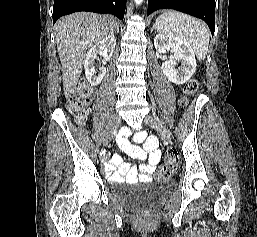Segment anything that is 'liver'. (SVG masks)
Masks as SVG:
<instances>
[{
  "mask_svg": "<svg viewBox=\"0 0 257 237\" xmlns=\"http://www.w3.org/2000/svg\"><path fill=\"white\" fill-rule=\"evenodd\" d=\"M117 28L118 23L112 16L95 13L79 12L58 20L56 43L66 98L76 89L88 51L97 42L113 35Z\"/></svg>",
  "mask_w": 257,
  "mask_h": 237,
  "instance_id": "liver-1",
  "label": "liver"
}]
</instances>
